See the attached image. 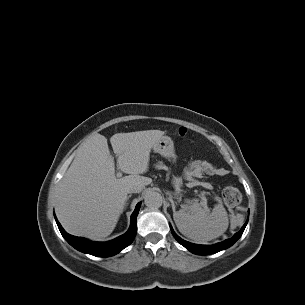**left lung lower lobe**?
I'll use <instances>...</instances> for the list:
<instances>
[{"label": "left lung lower lobe", "mask_w": 305, "mask_h": 305, "mask_svg": "<svg viewBox=\"0 0 305 305\" xmlns=\"http://www.w3.org/2000/svg\"><path fill=\"white\" fill-rule=\"evenodd\" d=\"M247 222H248V220L243 225L242 229L239 232H237L232 238L227 239L223 242L217 243L215 245H197V244H193V243L184 241L175 234V232L173 231L171 226H170V228H171V232H172L173 236L175 237V239L181 245H183L185 248H187L189 251H191L194 254H198V255H209V254L217 253L221 250L227 249L230 246H232L241 237V235L247 225Z\"/></svg>", "instance_id": "0a47b994"}]
</instances>
